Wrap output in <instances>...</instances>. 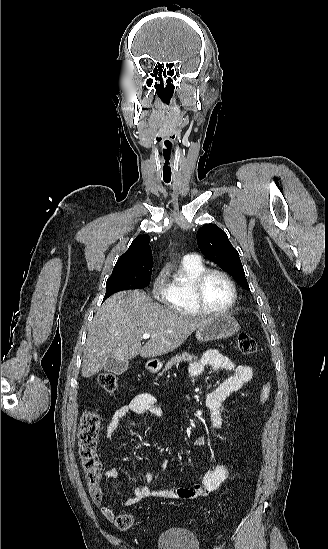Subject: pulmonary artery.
Returning a JSON list of instances; mask_svg holds the SVG:
<instances>
[{"instance_id": "e3ab8cb5", "label": "pulmonary artery", "mask_w": 328, "mask_h": 549, "mask_svg": "<svg viewBox=\"0 0 328 549\" xmlns=\"http://www.w3.org/2000/svg\"><path fill=\"white\" fill-rule=\"evenodd\" d=\"M190 256H191V254H185V255H184V258H188V257H190Z\"/></svg>"}]
</instances>
